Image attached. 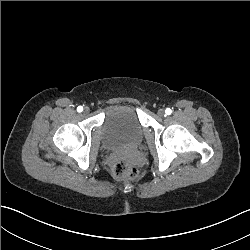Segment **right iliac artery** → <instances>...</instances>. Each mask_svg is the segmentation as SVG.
Instances as JSON below:
<instances>
[{
  "label": "right iliac artery",
  "instance_id": "1",
  "mask_svg": "<svg viewBox=\"0 0 250 250\" xmlns=\"http://www.w3.org/2000/svg\"><path fill=\"white\" fill-rule=\"evenodd\" d=\"M77 111L80 113V112H82L83 111V107L82 106H78L77 107Z\"/></svg>",
  "mask_w": 250,
  "mask_h": 250
}]
</instances>
